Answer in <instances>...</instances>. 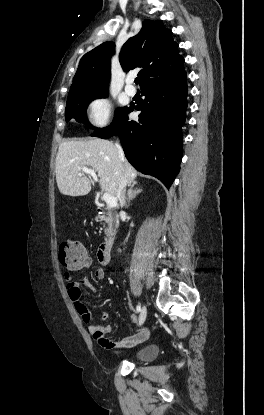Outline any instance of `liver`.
Instances as JSON below:
<instances>
[{
  "mask_svg": "<svg viewBox=\"0 0 264 415\" xmlns=\"http://www.w3.org/2000/svg\"><path fill=\"white\" fill-rule=\"evenodd\" d=\"M83 167L96 171L101 190L112 196H117L122 177L129 184L137 177V171L119 157L112 142L99 138L65 141L59 145L55 164L57 186L63 195L75 197L90 192V177L78 175Z\"/></svg>",
  "mask_w": 264,
  "mask_h": 415,
  "instance_id": "6515ba94",
  "label": "liver"
}]
</instances>
